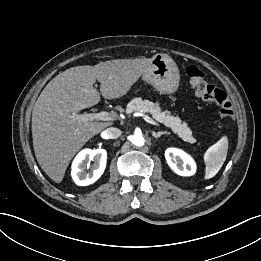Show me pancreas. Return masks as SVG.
Segmentation results:
<instances>
[{"mask_svg":"<svg viewBox=\"0 0 261 261\" xmlns=\"http://www.w3.org/2000/svg\"><path fill=\"white\" fill-rule=\"evenodd\" d=\"M126 112L128 114L132 112L150 113L158 122L171 128L172 131L183 141L189 143L196 142V139L192 136V131L187 123L182 122L178 116H172L170 111H163L158 103H153L149 100H142L141 98H135L128 103Z\"/></svg>","mask_w":261,"mask_h":261,"instance_id":"cf45deb5","label":"pancreas"}]
</instances>
